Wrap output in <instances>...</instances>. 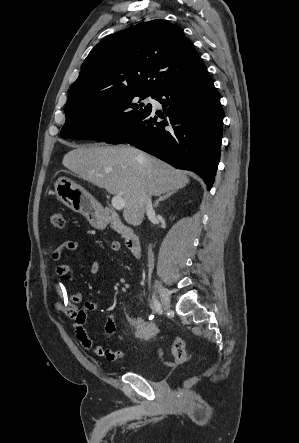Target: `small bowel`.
<instances>
[{
	"label": "small bowel",
	"mask_w": 299,
	"mask_h": 443,
	"mask_svg": "<svg viewBox=\"0 0 299 443\" xmlns=\"http://www.w3.org/2000/svg\"><path fill=\"white\" fill-rule=\"evenodd\" d=\"M77 248L78 244L75 241H65L53 250L51 255L52 259L59 261L65 254L68 252H74ZM99 268V263L93 261L89 266V271L92 274H96L99 272ZM54 274L57 277L67 276L69 281L74 280L73 268L67 264L57 265L54 269ZM55 295V309L58 312L64 313L70 319L78 341L86 350L91 351L96 356L105 358L110 362L124 357V352L122 350L95 344L89 336L85 328V323L89 312H97L100 310L101 307L97 303L86 302L81 307H78L77 305L83 300V294L80 291L69 292L62 283L56 284ZM104 330L109 340L114 337L122 339L126 332L125 329L118 325L112 314L107 315Z\"/></svg>",
	"instance_id": "1"
}]
</instances>
